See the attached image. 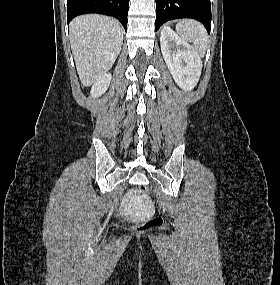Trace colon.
<instances>
[{
    "instance_id": "obj_1",
    "label": "colon",
    "mask_w": 280,
    "mask_h": 285,
    "mask_svg": "<svg viewBox=\"0 0 280 285\" xmlns=\"http://www.w3.org/2000/svg\"><path fill=\"white\" fill-rule=\"evenodd\" d=\"M140 194L144 197L149 196V191L145 185H141L138 187ZM163 220L160 216H152L145 220L142 224L138 225L135 230L137 232H145L148 230H152L158 228L162 225Z\"/></svg>"
}]
</instances>
